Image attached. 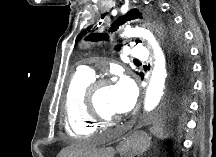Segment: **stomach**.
Masks as SVG:
<instances>
[{
	"label": "stomach",
	"mask_w": 216,
	"mask_h": 157,
	"mask_svg": "<svg viewBox=\"0 0 216 157\" xmlns=\"http://www.w3.org/2000/svg\"><path fill=\"white\" fill-rule=\"evenodd\" d=\"M149 146L150 138L143 131L131 132L121 143V147L129 155H138L146 151ZM112 153H114L113 150Z\"/></svg>",
	"instance_id": "0dacf381"
}]
</instances>
